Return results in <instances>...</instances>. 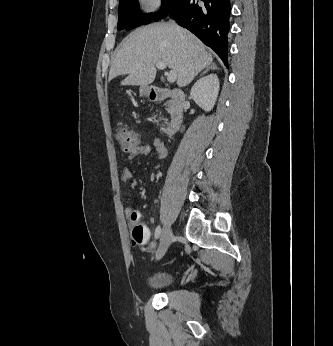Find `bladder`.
Wrapping results in <instances>:
<instances>
[{
	"label": "bladder",
	"mask_w": 333,
	"mask_h": 346,
	"mask_svg": "<svg viewBox=\"0 0 333 346\" xmlns=\"http://www.w3.org/2000/svg\"><path fill=\"white\" fill-rule=\"evenodd\" d=\"M175 276L173 273L164 272L157 273L151 277L148 282V288L153 291H160L169 288L174 282Z\"/></svg>",
	"instance_id": "bladder-1"
}]
</instances>
